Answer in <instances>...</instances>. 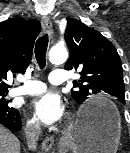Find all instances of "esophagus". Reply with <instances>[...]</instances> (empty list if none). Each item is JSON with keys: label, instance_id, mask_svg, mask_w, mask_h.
Returning a JSON list of instances; mask_svg holds the SVG:
<instances>
[{"label": "esophagus", "instance_id": "esophagus-1", "mask_svg": "<svg viewBox=\"0 0 130 153\" xmlns=\"http://www.w3.org/2000/svg\"><path fill=\"white\" fill-rule=\"evenodd\" d=\"M42 27L45 32L49 33L50 35L53 34V25L48 16L42 17ZM54 145V138L53 137H47L42 142V148L44 151L48 152L52 149Z\"/></svg>", "mask_w": 130, "mask_h": 153}]
</instances>
